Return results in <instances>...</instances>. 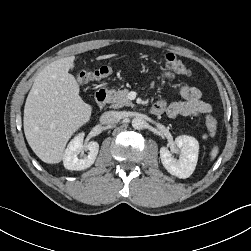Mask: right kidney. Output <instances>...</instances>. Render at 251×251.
Here are the masks:
<instances>
[{"instance_id":"right-kidney-1","label":"right kidney","mask_w":251,"mask_h":251,"mask_svg":"<svg viewBox=\"0 0 251 251\" xmlns=\"http://www.w3.org/2000/svg\"><path fill=\"white\" fill-rule=\"evenodd\" d=\"M84 133L75 136L67 146L63 155L64 167L68 170H84L89 168L96 160L99 144L96 141H90L83 145ZM88 150V155L84 158H78L83 150Z\"/></svg>"}]
</instances>
